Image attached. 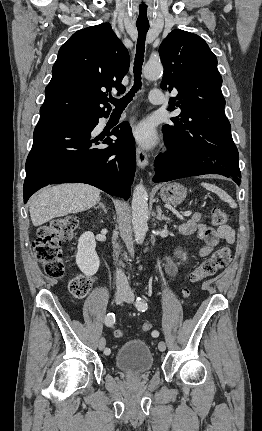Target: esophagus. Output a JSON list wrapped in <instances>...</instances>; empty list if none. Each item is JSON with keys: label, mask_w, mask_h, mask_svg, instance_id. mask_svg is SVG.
<instances>
[{"label": "esophagus", "mask_w": 262, "mask_h": 431, "mask_svg": "<svg viewBox=\"0 0 262 431\" xmlns=\"http://www.w3.org/2000/svg\"><path fill=\"white\" fill-rule=\"evenodd\" d=\"M136 158H137V165L140 168H145L148 164V155L147 153L140 147H136Z\"/></svg>", "instance_id": "esophagus-1"}]
</instances>
